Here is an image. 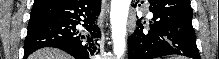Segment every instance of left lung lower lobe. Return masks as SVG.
I'll return each mask as SVG.
<instances>
[{
    "instance_id": "0a47b994",
    "label": "left lung lower lobe",
    "mask_w": 219,
    "mask_h": 59,
    "mask_svg": "<svg viewBox=\"0 0 219 59\" xmlns=\"http://www.w3.org/2000/svg\"><path fill=\"white\" fill-rule=\"evenodd\" d=\"M148 2L153 13L149 30L143 27L142 18L137 21L134 33L128 38V59H153L173 54L200 59L190 0Z\"/></svg>"
}]
</instances>
